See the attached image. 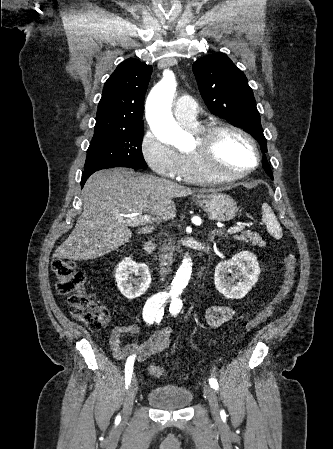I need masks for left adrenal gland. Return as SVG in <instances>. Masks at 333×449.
<instances>
[{"mask_svg":"<svg viewBox=\"0 0 333 449\" xmlns=\"http://www.w3.org/2000/svg\"><path fill=\"white\" fill-rule=\"evenodd\" d=\"M216 234H222V232L219 231V230H213V231L211 232V234H210V241H213V240H214Z\"/></svg>","mask_w":333,"mask_h":449,"instance_id":"a2214340","label":"left adrenal gland"}]
</instances>
